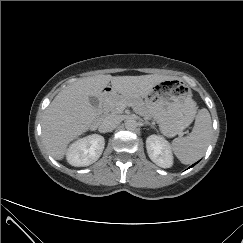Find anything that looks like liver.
<instances>
[{
  "label": "liver",
  "mask_w": 243,
  "mask_h": 243,
  "mask_svg": "<svg viewBox=\"0 0 243 243\" xmlns=\"http://www.w3.org/2000/svg\"><path fill=\"white\" fill-rule=\"evenodd\" d=\"M171 79L163 75H97L74 82L59 92L45 110L42 120L45 148L53 158L63 159L68 144L88 131L97 117L89 97H102L110 81L111 94L139 99L147 96L155 85Z\"/></svg>",
  "instance_id": "liver-1"
}]
</instances>
